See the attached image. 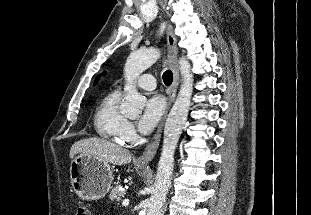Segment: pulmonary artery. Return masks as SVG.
Listing matches in <instances>:
<instances>
[{"label": "pulmonary artery", "mask_w": 311, "mask_h": 215, "mask_svg": "<svg viewBox=\"0 0 311 215\" xmlns=\"http://www.w3.org/2000/svg\"><path fill=\"white\" fill-rule=\"evenodd\" d=\"M136 85L141 89L150 91L155 89L156 80L151 74H144L137 79Z\"/></svg>", "instance_id": "pulmonary-artery-1"}]
</instances>
